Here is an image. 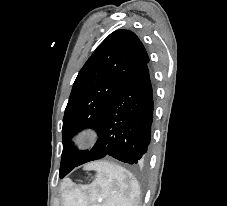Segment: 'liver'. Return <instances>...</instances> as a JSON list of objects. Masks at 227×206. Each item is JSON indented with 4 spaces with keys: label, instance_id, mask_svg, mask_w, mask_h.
Masks as SVG:
<instances>
[{
    "label": "liver",
    "instance_id": "1",
    "mask_svg": "<svg viewBox=\"0 0 227 206\" xmlns=\"http://www.w3.org/2000/svg\"><path fill=\"white\" fill-rule=\"evenodd\" d=\"M95 164H96V163L89 164L86 168H87V169H90V168L94 167V166H95Z\"/></svg>",
    "mask_w": 227,
    "mask_h": 206
}]
</instances>
